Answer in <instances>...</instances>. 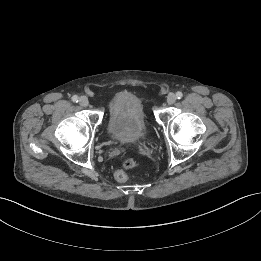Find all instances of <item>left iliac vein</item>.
Wrapping results in <instances>:
<instances>
[{
  "instance_id": "4c4485c4",
  "label": "left iliac vein",
  "mask_w": 261,
  "mask_h": 261,
  "mask_svg": "<svg viewBox=\"0 0 261 261\" xmlns=\"http://www.w3.org/2000/svg\"><path fill=\"white\" fill-rule=\"evenodd\" d=\"M175 102H176V96H175V94H173V93L168 94V96H167V103H168L169 105H172V104H174Z\"/></svg>"
}]
</instances>
